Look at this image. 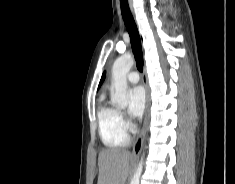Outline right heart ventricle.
<instances>
[{
    "mask_svg": "<svg viewBox=\"0 0 235 184\" xmlns=\"http://www.w3.org/2000/svg\"><path fill=\"white\" fill-rule=\"evenodd\" d=\"M96 118L99 135L106 148L102 158L121 151L130 143V137L120 121L119 112L114 107L101 103Z\"/></svg>",
    "mask_w": 235,
    "mask_h": 184,
    "instance_id": "obj_1",
    "label": "right heart ventricle"
}]
</instances>
